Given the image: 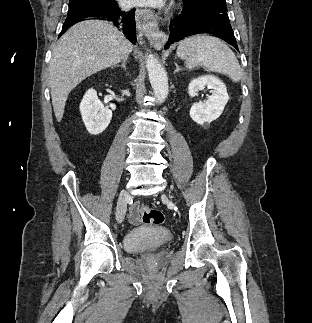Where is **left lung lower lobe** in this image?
Instances as JSON below:
<instances>
[{
	"label": "left lung lower lobe",
	"instance_id": "1",
	"mask_svg": "<svg viewBox=\"0 0 312 323\" xmlns=\"http://www.w3.org/2000/svg\"><path fill=\"white\" fill-rule=\"evenodd\" d=\"M169 29L170 36L165 48L185 37L206 33L228 42L239 51L225 0H201L193 7H184L171 20Z\"/></svg>",
	"mask_w": 312,
	"mask_h": 323
}]
</instances>
